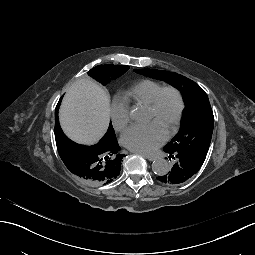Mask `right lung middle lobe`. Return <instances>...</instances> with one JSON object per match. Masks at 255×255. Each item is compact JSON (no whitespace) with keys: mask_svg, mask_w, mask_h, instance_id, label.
<instances>
[{"mask_svg":"<svg viewBox=\"0 0 255 255\" xmlns=\"http://www.w3.org/2000/svg\"><path fill=\"white\" fill-rule=\"evenodd\" d=\"M129 69V66L124 65H98L92 68L88 75L91 76L93 79L100 82L102 85H106L112 79H116L117 77L124 74Z\"/></svg>","mask_w":255,"mask_h":255,"instance_id":"dd1d6c3e","label":"right lung middle lobe"}]
</instances>
